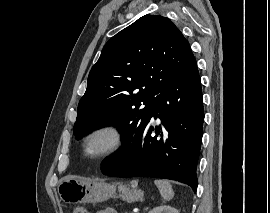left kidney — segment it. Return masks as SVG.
<instances>
[{
    "label": "left kidney",
    "mask_w": 270,
    "mask_h": 213,
    "mask_svg": "<svg viewBox=\"0 0 270 213\" xmlns=\"http://www.w3.org/2000/svg\"><path fill=\"white\" fill-rule=\"evenodd\" d=\"M148 213H179L177 209L167 206V205H161L153 208Z\"/></svg>",
    "instance_id": "1"
}]
</instances>
